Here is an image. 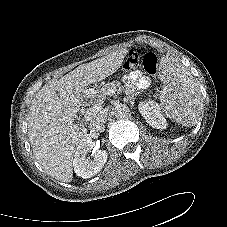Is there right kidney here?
<instances>
[{
  "label": "right kidney",
  "instance_id": "ca27d5eb",
  "mask_svg": "<svg viewBox=\"0 0 227 227\" xmlns=\"http://www.w3.org/2000/svg\"><path fill=\"white\" fill-rule=\"evenodd\" d=\"M94 146L92 138L88 135L80 141L73 159V167L77 176L84 179L91 178L99 173L106 163L108 153L105 150H93V159L87 157L88 152Z\"/></svg>",
  "mask_w": 227,
  "mask_h": 227
}]
</instances>
